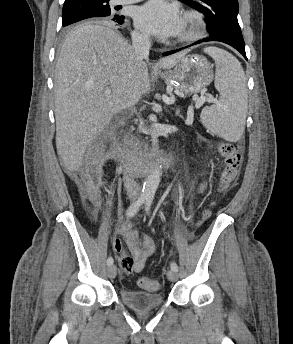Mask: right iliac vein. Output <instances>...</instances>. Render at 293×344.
I'll list each match as a JSON object with an SVG mask.
<instances>
[{
	"instance_id": "1",
	"label": "right iliac vein",
	"mask_w": 293,
	"mask_h": 344,
	"mask_svg": "<svg viewBox=\"0 0 293 344\" xmlns=\"http://www.w3.org/2000/svg\"><path fill=\"white\" fill-rule=\"evenodd\" d=\"M107 272H108L109 278H111V279L115 278L116 273H117V268H116V266H115V265H110V266L108 267Z\"/></svg>"
}]
</instances>
